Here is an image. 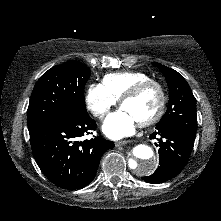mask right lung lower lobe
<instances>
[{"mask_svg":"<svg viewBox=\"0 0 221 221\" xmlns=\"http://www.w3.org/2000/svg\"><path fill=\"white\" fill-rule=\"evenodd\" d=\"M96 127L87 112H76L59 123L29 132L34 158L52 183L63 189H79L94 179L102 155L114 147L112 141L100 136L77 141Z\"/></svg>","mask_w":221,"mask_h":221,"instance_id":"right-lung-lower-lobe-1","label":"right lung lower lobe"}]
</instances>
